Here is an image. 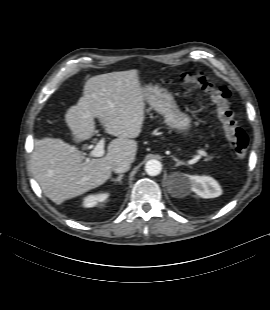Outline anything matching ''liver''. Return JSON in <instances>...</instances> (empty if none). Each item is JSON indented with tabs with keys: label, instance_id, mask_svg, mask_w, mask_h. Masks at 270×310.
Returning <instances> with one entry per match:
<instances>
[{
	"label": "liver",
	"instance_id": "liver-1",
	"mask_svg": "<svg viewBox=\"0 0 270 310\" xmlns=\"http://www.w3.org/2000/svg\"><path fill=\"white\" fill-rule=\"evenodd\" d=\"M84 95L65 114L75 142L90 139L94 117L118 137L102 158L89 159L59 138L35 139L32 172L43 193L57 205L104 184L117 160L134 162L145 119V89L136 69L97 75L87 80Z\"/></svg>",
	"mask_w": 270,
	"mask_h": 310
}]
</instances>
